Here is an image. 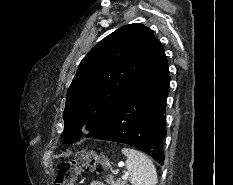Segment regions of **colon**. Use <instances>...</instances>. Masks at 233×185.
<instances>
[{"label":"colon","instance_id":"colon-1","mask_svg":"<svg viewBox=\"0 0 233 185\" xmlns=\"http://www.w3.org/2000/svg\"><path fill=\"white\" fill-rule=\"evenodd\" d=\"M107 169L108 162L103 154L94 150H85L77 159L61 162L58 165L55 185H75L77 178L83 172L103 174Z\"/></svg>","mask_w":233,"mask_h":185}]
</instances>
